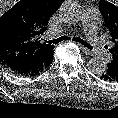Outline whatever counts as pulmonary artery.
<instances>
[{
  "mask_svg": "<svg viewBox=\"0 0 118 118\" xmlns=\"http://www.w3.org/2000/svg\"><path fill=\"white\" fill-rule=\"evenodd\" d=\"M99 18L100 15L97 9H88L83 14V27L87 31L89 40L95 46V49L101 54H106L105 50L102 48L100 38L96 35Z\"/></svg>",
  "mask_w": 118,
  "mask_h": 118,
  "instance_id": "e3ab8cb5",
  "label": "pulmonary artery"
}]
</instances>
